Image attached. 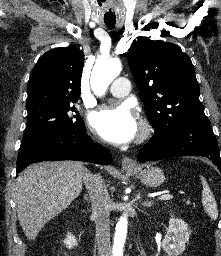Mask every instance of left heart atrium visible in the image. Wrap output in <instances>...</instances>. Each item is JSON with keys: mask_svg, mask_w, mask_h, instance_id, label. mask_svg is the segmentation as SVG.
Returning <instances> with one entry per match:
<instances>
[{"mask_svg": "<svg viewBox=\"0 0 221 256\" xmlns=\"http://www.w3.org/2000/svg\"><path fill=\"white\" fill-rule=\"evenodd\" d=\"M90 124L103 139L116 144L132 141L139 132V122L128 103L93 113Z\"/></svg>", "mask_w": 221, "mask_h": 256, "instance_id": "left-heart-atrium-1", "label": "left heart atrium"}]
</instances>
